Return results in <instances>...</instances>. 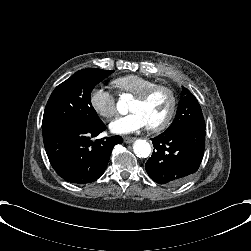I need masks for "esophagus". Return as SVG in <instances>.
I'll return each instance as SVG.
<instances>
[{
    "mask_svg": "<svg viewBox=\"0 0 251 251\" xmlns=\"http://www.w3.org/2000/svg\"><path fill=\"white\" fill-rule=\"evenodd\" d=\"M135 137H129V136H126L123 138L124 142L129 144V143H132L133 141H135Z\"/></svg>",
    "mask_w": 251,
    "mask_h": 251,
    "instance_id": "obj_1",
    "label": "esophagus"
}]
</instances>
